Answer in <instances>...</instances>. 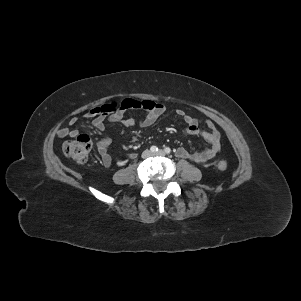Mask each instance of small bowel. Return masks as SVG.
I'll return each mask as SVG.
<instances>
[{"label":"small bowel","instance_id":"1","mask_svg":"<svg viewBox=\"0 0 301 301\" xmlns=\"http://www.w3.org/2000/svg\"><path fill=\"white\" fill-rule=\"evenodd\" d=\"M100 107L92 108L87 114V118L93 117V127L103 132L105 130V122L107 120L112 122H120L127 127H133L137 123L140 127L152 126L166 111L165 106L162 103L144 100L138 101L135 99H125L119 104V108L113 112H102ZM141 110L143 111L142 118L136 122L133 118L125 117L128 110ZM176 114L183 118L186 123L184 134L188 136L199 135L208 144L209 147L203 151H189L183 147L176 150V155L180 158L190 160L194 163L205 164L213 159L220 150V134L211 121H207V129H200L198 121L191 115L186 114L183 110H176ZM78 122L77 118H72L69 122L70 126H75ZM78 130L70 129L67 127L61 128L57 132V136L64 137H76ZM110 139L106 136L100 138L97 142V151L101 157V161L104 166L110 167L112 165V157L109 153ZM134 154H128L129 157H133Z\"/></svg>","mask_w":301,"mask_h":301}]
</instances>
